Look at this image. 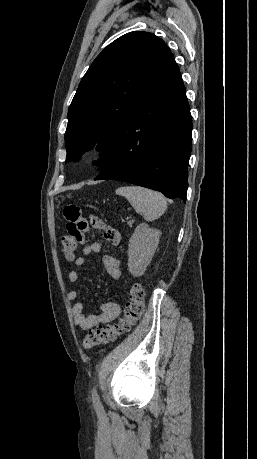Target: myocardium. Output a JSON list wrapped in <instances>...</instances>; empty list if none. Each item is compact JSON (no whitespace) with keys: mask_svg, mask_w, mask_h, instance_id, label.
<instances>
[{"mask_svg":"<svg viewBox=\"0 0 257 459\" xmlns=\"http://www.w3.org/2000/svg\"><path fill=\"white\" fill-rule=\"evenodd\" d=\"M99 151L98 150H95V149H91V150H88L85 152L84 156L88 159H92V158H95L99 155Z\"/></svg>","mask_w":257,"mask_h":459,"instance_id":"obj_1","label":"myocardium"}]
</instances>
